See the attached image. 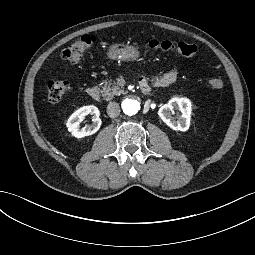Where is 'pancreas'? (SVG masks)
<instances>
[{
  "label": "pancreas",
  "mask_w": 255,
  "mask_h": 255,
  "mask_svg": "<svg viewBox=\"0 0 255 255\" xmlns=\"http://www.w3.org/2000/svg\"><path fill=\"white\" fill-rule=\"evenodd\" d=\"M124 91L116 85L115 82H112V80L104 81L102 85V97H104L105 100L109 101L114 98V96H119Z\"/></svg>",
  "instance_id": "pancreas-1"
}]
</instances>
